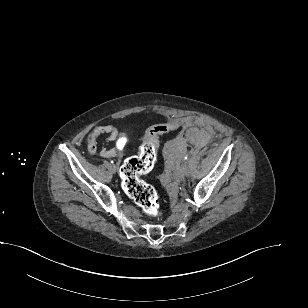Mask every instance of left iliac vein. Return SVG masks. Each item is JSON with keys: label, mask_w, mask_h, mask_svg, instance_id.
<instances>
[{"label": "left iliac vein", "mask_w": 308, "mask_h": 308, "mask_svg": "<svg viewBox=\"0 0 308 308\" xmlns=\"http://www.w3.org/2000/svg\"><path fill=\"white\" fill-rule=\"evenodd\" d=\"M189 173V168L187 165H183L180 170L178 171V176L180 178L184 177V176H187Z\"/></svg>", "instance_id": "left-iliac-vein-1"}]
</instances>
